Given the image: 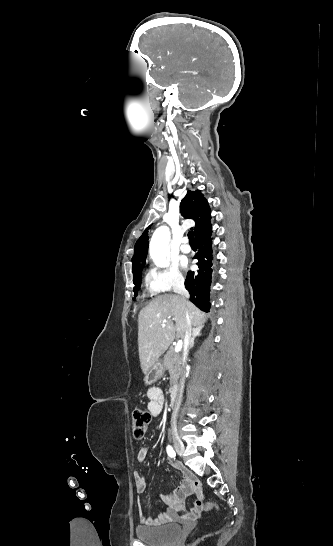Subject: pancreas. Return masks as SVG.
I'll use <instances>...</instances> for the list:
<instances>
[{"label":"pancreas","instance_id":"1","mask_svg":"<svg viewBox=\"0 0 333 546\" xmlns=\"http://www.w3.org/2000/svg\"><path fill=\"white\" fill-rule=\"evenodd\" d=\"M182 356L175 353L173 348H170L164 356L163 367L169 371L171 384H176L179 376L183 373Z\"/></svg>","mask_w":333,"mask_h":546}]
</instances>
